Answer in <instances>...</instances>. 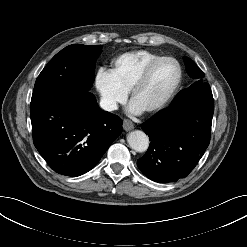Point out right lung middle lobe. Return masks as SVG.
Instances as JSON below:
<instances>
[{
    "label": "right lung middle lobe",
    "mask_w": 247,
    "mask_h": 247,
    "mask_svg": "<svg viewBox=\"0 0 247 247\" xmlns=\"http://www.w3.org/2000/svg\"><path fill=\"white\" fill-rule=\"evenodd\" d=\"M102 45L73 44L62 49L38 76L32 99L50 91L79 96L89 91L94 80L95 60Z\"/></svg>",
    "instance_id": "dd1d6c3e"
}]
</instances>
